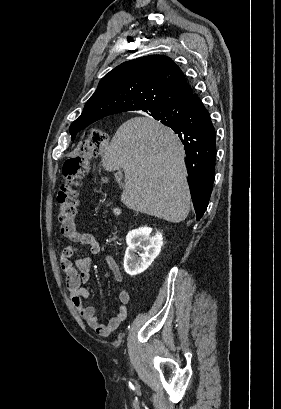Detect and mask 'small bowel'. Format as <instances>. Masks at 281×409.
Returning a JSON list of instances; mask_svg holds the SVG:
<instances>
[{
	"label": "small bowel",
	"instance_id": "obj_1",
	"mask_svg": "<svg viewBox=\"0 0 281 409\" xmlns=\"http://www.w3.org/2000/svg\"><path fill=\"white\" fill-rule=\"evenodd\" d=\"M61 232L72 242L86 246L91 255H97L100 252V244L95 236L91 233L79 232L75 221L62 223ZM76 252L77 248L75 246L68 245L62 250L60 255L61 269L66 275V288L70 294L72 304L77 309L79 315L98 334L107 336L126 319L130 293L126 289L119 291V306L116 313L107 324L101 323L97 317V308L84 304L90 297V291L84 287V284L90 279L91 258L86 256L74 259ZM105 262L107 265L106 276L113 277L117 282H122L123 275L113 256H106Z\"/></svg>",
	"mask_w": 281,
	"mask_h": 409
}]
</instances>
